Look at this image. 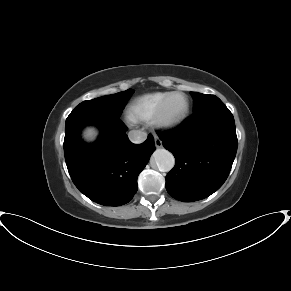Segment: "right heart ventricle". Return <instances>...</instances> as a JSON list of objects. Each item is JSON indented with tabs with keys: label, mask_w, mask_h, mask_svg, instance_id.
<instances>
[{
	"label": "right heart ventricle",
	"mask_w": 291,
	"mask_h": 291,
	"mask_svg": "<svg viewBox=\"0 0 291 291\" xmlns=\"http://www.w3.org/2000/svg\"><path fill=\"white\" fill-rule=\"evenodd\" d=\"M169 93L156 92L145 94L132 100L128 105V115L135 121H151Z\"/></svg>",
	"instance_id": "obj_1"
}]
</instances>
